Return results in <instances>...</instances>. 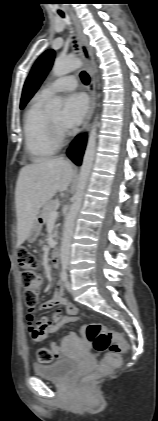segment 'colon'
<instances>
[{
  "instance_id": "1",
  "label": "colon",
  "mask_w": 158,
  "mask_h": 421,
  "mask_svg": "<svg viewBox=\"0 0 158 421\" xmlns=\"http://www.w3.org/2000/svg\"><path fill=\"white\" fill-rule=\"evenodd\" d=\"M17 258L26 303L32 307L37 303V294L41 284L37 273L38 262L35 255L23 246L17 250ZM84 333L95 351L107 352L95 372L85 378L86 382H91L120 365L121 357L127 350V343L119 333L100 323L88 324ZM37 358L41 363H51L55 354L52 350L42 347L37 352Z\"/></svg>"
}]
</instances>
